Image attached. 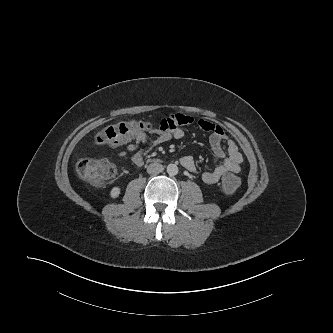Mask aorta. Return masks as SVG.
I'll return each instance as SVG.
<instances>
[{
	"instance_id": "aorta-1",
	"label": "aorta",
	"mask_w": 333,
	"mask_h": 333,
	"mask_svg": "<svg viewBox=\"0 0 333 333\" xmlns=\"http://www.w3.org/2000/svg\"><path fill=\"white\" fill-rule=\"evenodd\" d=\"M167 173L170 175V176H175L177 175L178 173V166L176 164H169L167 166Z\"/></svg>"
}]
</instances>
